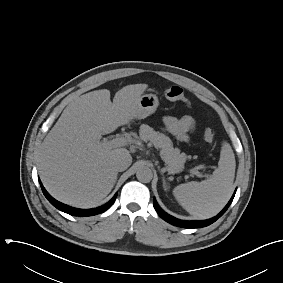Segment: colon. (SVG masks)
<instances>
[{"label":"colon","mask_w":283,"mask_h":283,"mask_svg":"<svg viewBox=\"0 0 283 283\" xmlns=\"http://www.w3.org/2000/svg\"><path fill=\"white\" fill-rule=\"evenodd\" d=\"M164 97L168 100H180L188 103L183 90L178 86H172L166 89L164 91ZM203 137L207 143L212 144L215 141V132L210 128H206L203 132Z\"/></svg>","instance_id":"1"}]
</instances>
